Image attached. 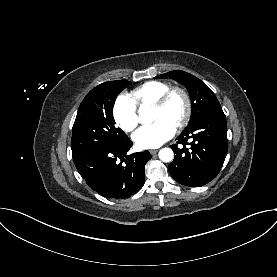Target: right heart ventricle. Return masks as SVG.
<instances>
[{"label":"right heart ventricle","mask_w":277,"mask_h":277,"mask_svg":"<svg viewBox=\"0 0 277 277\" xmlns=\"http://www.w3.org/2000/svg\"><path fill=\"white\" fill-rule=\"evenodd\" d=\"M169 88L170 85L166 82L149 81L133 89L130 96L140 107L151 106Z\"/></svg>","instance_id":"1"}]
</instances>
